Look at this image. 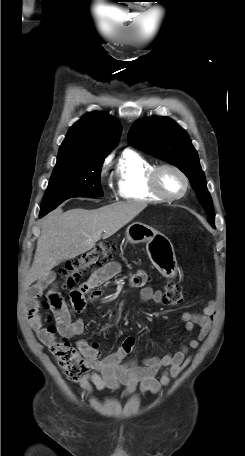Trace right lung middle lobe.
Returning <instances> with one entry per match:
<instances>
[{"label": "right lung middle lobe", "instance_id": "right-lung-middle-lobe-1", "mask_svg": "<svg viewBox=\"0 0 245 456\" xmlns=\"http://www.w3.org/2000/svg\"><path fill=\"white\" fill-rule=\"evenodd\" d=\"M103 160H69L56 164L40 214H47L72 197L103 196L100 186Z\"/></svg>", "mask_w": 245, "mask_h": 456}]
</instances>
